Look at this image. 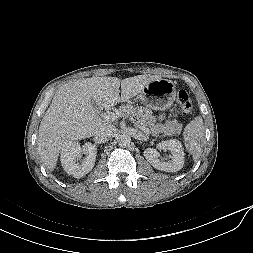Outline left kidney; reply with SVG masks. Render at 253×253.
<instances>
[{"label":"left kidney","instance_id":"5707ae66","mask_svg":"<svg viewBox=\"0 0 253 253\" xmlns=\"http://www.w3.org/2000/svg\"><path fill=\"white\" fill-rule=\"evenodd\" d=\"M169 150L172 154L170 161H160L158 150ZM157 149L147 148L144 157L155 168L165 172H177L184 165V151L181 142L176 139L162 141L157 145Z\"/></svg>","mask_w":253,"mask_h":253}]
</instances>
